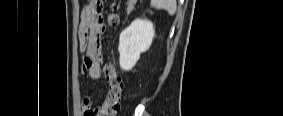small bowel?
<instances>
[{
  "instance_id": "c3829d8e",
  "label": "small bowel",
  "mask_w": 283,
  "mask_h": 116,
  "mask_svg": "<svg viewBox=\"0 0 283 116\" xmlns=\"http://www.w3.org/2000/svg\"><path fill=\"white\" fill-rule=\"evenodd\" d=\"M101 11L102 1H89L81 12V22L78 28L79 49L81 52H85L81 73L87 74L92 80L101 77V47L105 30ZM82 110L85 116H106L103 112V106L94 108L90 98L85 99Z\"/></svg>"
}]
</instances>
